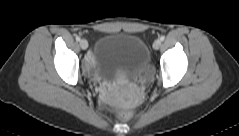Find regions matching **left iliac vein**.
Segmentation results:
<instances>
[{"label":"left iliac vein","instance_id":"4c4485c4","mask_svg":"<svg viewBox=\"0 0 239 136\" xmlns=\"http://www.w3.org/2000/svg\"><path fill=\"white\" fill-rule=\"evenodd\" d=\"M161 46V41L160 40H155V42L153 43V48L154 49H159Z\"/></svg>","mask_w":239,"mask_h":136}]
</instances>
